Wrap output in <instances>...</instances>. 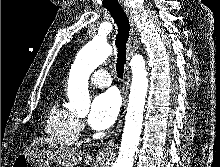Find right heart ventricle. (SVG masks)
<instances>
[{
    "mask_svg": "<svg viewBox=\"0 0 220 167\" xmlns=\"http://www.w3.org/2000/svg\"><path fill=\"white\" fill-rule=\"evenodd\" d=\"M47 136L62 146H72L77 142L79 127L77 118L56 99L51 104L46 121Z\"/></svg>",
    "mask_w": 220,
    "mask_h": 167,
    "instance_id": "right-heart-ventricle-1",
    "label": "right heart ventricle"
}]
</instances>
